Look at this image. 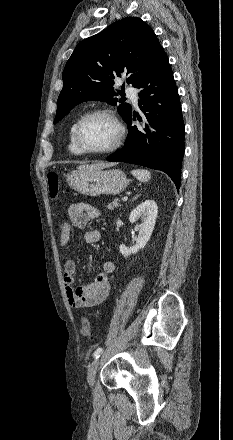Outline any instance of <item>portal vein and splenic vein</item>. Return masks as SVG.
<instances>
[{
    "label": "portal vein and splenic vein",
    "mask_w": 233,
    "mask_h": 440,
    "mask_svg": "<svg viewBox=\"0 0 233 440\" xmlns=\"http://www.w3.org/2000/svg\"><path fill=\"white\" fill-rule=\"evenodd\" d=\"M127 199H128V197H124V198L122 199V201H127Z\"/></svg>",
    "instance_id": "obj_1"
}]
</instances>
